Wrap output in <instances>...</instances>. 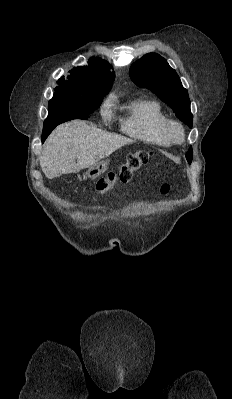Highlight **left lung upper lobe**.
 <instances>
[{"instance_id": "1", "label": "left lung upper lobe", "mask_w": 232, "mask_h": 399, "mask_svg": "<svg viewBox=\"0 0 232 399\" xmlns=\"http://www.w3.org/2000/svg\"><path fill=\"white\" fill-rule=\"evenodd\" d=\"M132 81L154 92L168 104L176 116L192 128L193 115L187 90L182 86L179 76L167 61L156 53H148L133 63L129 70ZM189 164L192 162V148L186 153Z\"/></svg>"}]
</instances>
